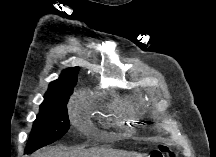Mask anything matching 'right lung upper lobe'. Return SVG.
<instances>
[{
    "mask_svg": "<svg viewBox=\"0 0 216 157\" xmlns=\"http://www.w3.org/2000/svg\"><path fill=\"white\" fill-rule=\"evenodd\" d=\"M79 69V67L65 69L60 75L59 79L51 82L44 96V102L41 104V106L44 105L48 99L56 96L58 93L73 90L77 82Z\"/></svg>",
    "mask_w": 216,
    "mask_h": 157,
    "instance_id": "obj_1",
    "label": "right lung upper lobe"
}]
</instances>
